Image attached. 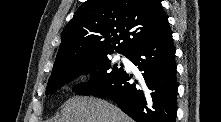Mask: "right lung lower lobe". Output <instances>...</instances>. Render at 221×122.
<instances>
[{"mask_svg": "<svg viewBox=\"0 0 221 122\" xmlns=\"http://www.w3.org/2000/svg\"><path fill=\"white\" fill-rule=\"evenodd\" d=\"M142 71L140 81L123 71L107 87L92 94L108 97L136 122H175L176 63L169 24L127 55Z\"/></svg>", "mask_w": 221, "mask_h": 122, "instance_id": "right-lung-lower-lobe-1", "label": "right lung lower lobe"}]
</instances>
